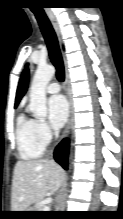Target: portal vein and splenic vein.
Returning a JSON list of instances; mask_svg holds the SVG:
<instances>
[{
    "label": "portal vein and splenic vein",
    "mask_w": 123,
    "mask_h": 219,
    "mask_svg": "<svg viewBox=\"0 0 123 219\" xmlns=\"http://www.w3.org/2000/svg\"><path fill=\"white\" fill-rule=\"evenodd\" d=\"M43 211H49L48 206H44V207H43Z\"/></svg>",
    "instance_id": "obj_1"
}]
</instances>
